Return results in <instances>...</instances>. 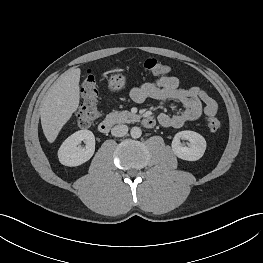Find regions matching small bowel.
Segmentation results:
<instances>
[{
    "instance_id": "small-bowel-1",
    "label": "small bowel",
    "mask_w": 263,
    "mask_h": 263,
    "mask_svg": "<svg viewBox=\"0 0 263 263\" xmlns=\"http://www.w3.org/2000/svg\"><path fill=\"white\" fill-rule=\"evenodd\" d=\"M130 96L136 103L149 98L156 100H176L183 109L175 114L161 113L158 122L163 127L181 128L197 120L202 114L209 119L217 113V103L204 90L197 86L182 88L178 78L163 76L155 81L144 83L131 90Z\"/></svg>"
}]
</instances>
